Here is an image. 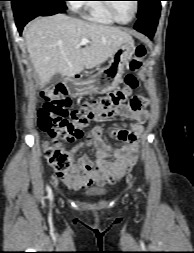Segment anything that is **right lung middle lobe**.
I'll use <instances>...</instances> for the list:
<instances>
[{"label":"right lung middle lobe","instance_id":"dd1d6c3e","mask_svg":"<svg viewBox=\"0 0 194 253\" xmlns=\"http://www.w3.org/2000/svg\"><path fill=\"white\" fill-rule=\"evenodd\" d=\"M65 1L67 0H11L14 13L23 5L38 2H52L66 9Z\"/></svg>","mask_w":194,"mask_h":253}]
</instances>
